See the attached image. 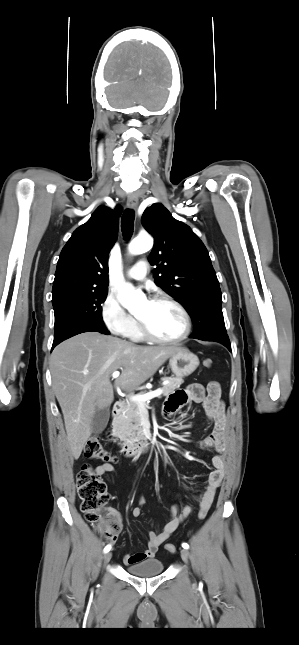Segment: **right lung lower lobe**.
<instances>
[{"label":"right lung lower lobe","instance_id":"right-lung-lower-lobe-1","mask_svg":"<svg viewBox=\"0 0 299 645\" xmlns=\"http://www.w3.org/2000/svg\"><path fill=\"white\" fill-rule=\"evenodd\" d=\"M91 331H93V332H100V333H102V334H109V332H108L106 329H99V328H94V327H82V328H79V329H77V330H75V331H73V332H71V333L67 334L66 336H64V337H63V338H61L60 340H58V341H54V342H53V346H52V350H53V348H54L57 344H59L60 342H62L63 340H65V339H67V338H70V337H72V336H74V335H77V334H80V333H84V332H91Z\"/></svg>","mask_w":299,"mask_h":645}]
</instances>
